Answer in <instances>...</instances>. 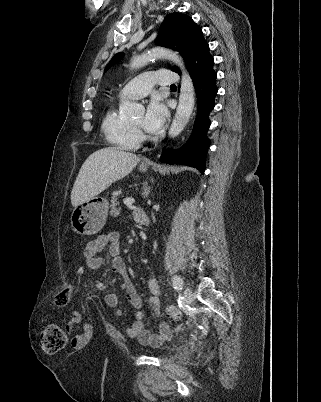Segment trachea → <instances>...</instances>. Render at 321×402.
I'll return each mask as SVG.
<instances>
[{"instance_id": "trachea-1", "label": "trachea", "mask_w": 321, "mask_h": 402, "mask_svg": "<svg viewBox=\"0 0 321 402\" xmlns=\"http://www.w3.org/2000/svg\"><path fill=\"white\" fill-rule=\"evenodd\" d=\"M171 87H176V85H175V84H172Z\"/></svg>"}]
</instances>
